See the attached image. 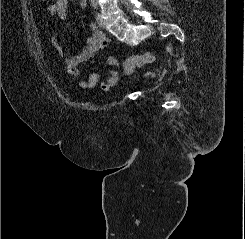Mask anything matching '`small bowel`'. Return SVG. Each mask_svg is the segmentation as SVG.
<instances>
[{
	"label": "small bowel",
	"mask_w": 245,
	"mask_h": 239,
	"mask_svg": "<svg viewBox=\"0 0 245 239\" xmlns=\"http://www.w3.org/2000/svg\"><path fill=\"white\" fill-rule=\"evenodd\" d=\"M80 5L82 8H85L86 0H81ZM48 10L52 17L63 20L66 17L67 0H53ZM109 43L110 40L102 33L96 24L92 23L90 25V36L87 38L83 49L65 59L64 69L70 78L78 83L79 87L92 89L98 85L99 75L96 72L91 73L88 79H82L78 66L87 61L96 63L95 55ZM54 47L58 53L62 54V49L57 42ZM102 64L116 68L115 70L109 71L106 80L99 85L103 91H110L119 81V69L121 65L118 59L112 56L105 58Z\"/></svg>",
	"instance_id": "c3829d8e"
}]
</instances>
